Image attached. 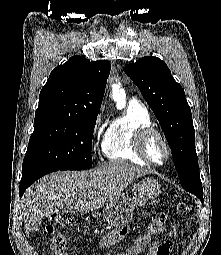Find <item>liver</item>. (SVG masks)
<instances>
[{
  "mask_svg": "<svg viewBox=\"0 0 221 255\" xmlns=\"http://www.w3.org/2000/svg\"><path fill=\"white\" fill-rule=\"evenodd\" d=\"M148 171L123 161H113L89 171L47 175L26 190L21 214L28 234L33 225L61 209L93 212L121 194L135 178Z\"/></svg>",
  "mask_w": 221,
  "mask_h": 255,
  "instance_id": "obj_1",
  "label": "liver"
}]
</instances>
